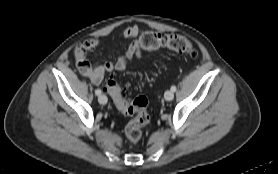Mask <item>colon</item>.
<instances>
[{
    "mask_svg": "<svg viewBox=\"0 0 278 174\" xmlns=\"http://www.w3.org/2000/svg\"><path fill=\"white\" fill-rule=\"evenodd\" d=\"M140 45L147 50L158 48H168L173 51L187 54L191 57L197 56V51L193 44L184 36L178 34H167L161 32L148 31L140 37ZM106 91L112 98L116 107L124 114L134 115L125 128L126 139L129 143H136L141 138L142 127L149 122L148 100L137 97L132 101L125 98L123 87L110 77L105 84Z\"/></svg>",
    "mask_w": 278,
    "mask_h": 174,
    "instance_id": "colon-1",
    "label": "colon"
}]
</instances>
